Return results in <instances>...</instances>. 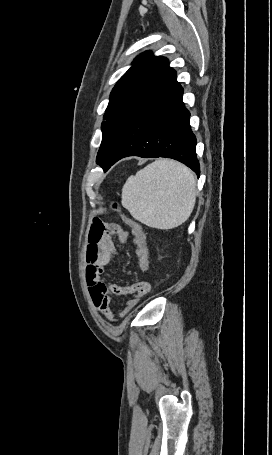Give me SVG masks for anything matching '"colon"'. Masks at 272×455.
<instances>
[{"label":"colon","instance_id":"colon-1","mask_svg":"<svg viewBox=\"0 0 272 455\" xmlns=\"http://www.w3.org/2000/svg\"><path fill=\"white\" fill-rule=\"evenodd\" d=\"M124 221L131 228L134 241L136 244V254L138 257V266L142 275L146 276L149 273L150 261L149 251L146 242V235L141 223L129 217L123 216Z\"/></svg>","mask_w":272,"mask_h":455}]
</instances>
